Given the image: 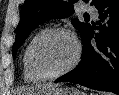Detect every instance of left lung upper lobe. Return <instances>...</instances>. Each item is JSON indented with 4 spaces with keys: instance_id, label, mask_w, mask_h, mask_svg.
<instances>
[{
    "instance_id": "obj_1",
    "label": "left lung upper lobe",
    "mask_w": 119,
    "mask_h": 95,
    "mask_svg": "<svg viewBox=\"0 0 119 95\" xmlns=\"http://www.w3.org/2000/svg\"><path fill=\"white\" fill-rule=\"evenodd\" d=\"M83 1L91 2V5L98 8L104 0ZM76 2L78 0H26L21 10V20L12 48L13 58H15L18 48L39 24L49 19L71 16L74 13V3ZM72 24L79 30L82 38L90 27V24L80 22L78 19H73Z\"/></svg>"
}]
</instances>
